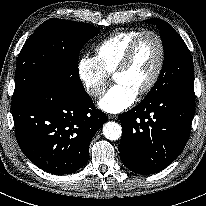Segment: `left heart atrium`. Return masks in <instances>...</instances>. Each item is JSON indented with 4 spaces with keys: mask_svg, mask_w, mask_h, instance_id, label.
<instances>
[{
    "mask_svg": "<svg viewBox=\"0 0 206 206\" xmlns=\"http://www.w3.org/2000/svg\"><path fill=\"white\" fill-rule=\"evenodd\" d=\"M137 94L123 84L114 85L98 102L99 107L108 113H120L129 108Z\"/></svg>",
    "mask_w": 206,
    "mask_h": 206,
    "instance_id": "obj_1",
    "label": "left heart atrium"
}]
</instances>
